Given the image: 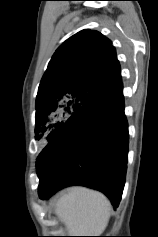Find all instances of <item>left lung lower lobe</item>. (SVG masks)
<instances>
[{
    "instance_id": "obj_1",
    "label": "left lung lower lobe",
    "mask_w": 158,
    "mask_h": 237,
    "mask_svg": "<svg viewBox=\"0 0 158 237\" xmlns=\"http://www.w3.org/2000/svg\"><path fill=\"white\" fill-rule=\"evenodd\" d=\"M128 129L122 82L96 95L61 126L36 161L41 199L80 185L106 194L116 208L125 183Z\"/></svg>"
}]
</instances>
